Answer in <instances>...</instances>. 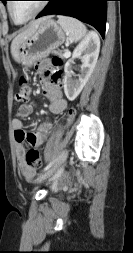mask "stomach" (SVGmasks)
Here are the masks:
<instances>
[{"label": "stomach", "instance_id": "1", "mask_svg": "<svg viewBox=\"0 0 133 253\" xmlns=\"http://www.w3.org/2000/svg\"><path fill=\"white\" fill-rule=\"evenodd\" d=\"M65 41L62 28L53 20L42 22L37 30L19 47L17 60L31 67L37 60L47 57Z\"/></svg>", "mask_w": 133, "mask_h": 253}]
</instances>
